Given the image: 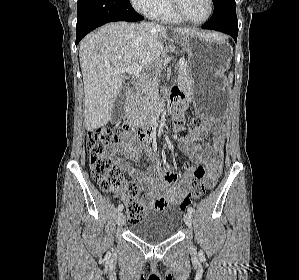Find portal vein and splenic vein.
I'll return each instance as SVG.
<instances>
[{"mask_svg":"<svg viewBox=\"0 0 299 280\" xmlns=\"http://www.w3.org/2000/svg\"><path fill=\"white\" fill-rule=\"evenodd\" d=\"M184 64H185L184 61H181L179 63V73L182 71ZM107 71L110 74L128 73V74H132L135 76H140L141 72H142V67H140L137 63H134L131 66L126 67L125 69H122V70L109 68V69H107ZM152 86L154 88H157V86H158V83L155 79L152 81Z\"/></svg>","mask_w":299,"mask_h":280,"instance_id":"portal-vein-and-splenic-vein-1","label":"portal vein and splenic vein"}]
</instances>
